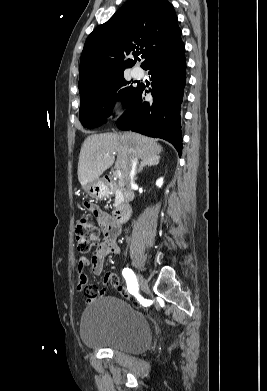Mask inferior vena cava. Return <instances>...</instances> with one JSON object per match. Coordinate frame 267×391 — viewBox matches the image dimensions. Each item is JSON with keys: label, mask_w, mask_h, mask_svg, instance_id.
I'll use <instances>...</instances> for the list:
<instances>
[{"label": "inferior vena cava", "mask_w": 267, "mask_h": 391, "mask_svg": "<svg viewBox=\"0 0 267 391\" xmlns=\"http://www.w3.org/2000/svg\"><path fill=\"white\" fill-rule=\"evenodd\" d=\"M137 164H138V158L136 156H131L129 167H128V175L125 178V184H126L127 189H130L131 185L134 182Z\"/></svg>", "instance_id": "602c4592"}]
</instances>
